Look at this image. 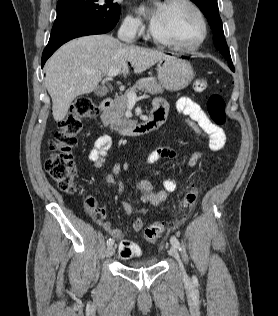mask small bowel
I'll use <instances>...</instances> for the list:
<instances>
[{"instance_id":"c3829d8e","label":"small bowel","mask_w":278,"mask_h":316,"mask_svg":"<svg viewBox=\"0 0 278 316\" xmlns=\"http://www.w3.org/2000/svg\"><path fill=\"white\" fill-rule=\"evenodd\" d=\"M177 110L185 115L187 125L193 130L195 134L206 139L209 144V148L213 152L220 151L226 143V134L222 128L215 125L206 112L201 108L199 104L188 97H182L176 104ZM153 110H159L164 114V120L166 119L169 106L160 98L155 99L153 103ZM112 146V139L108 135L99 136L93 143V146L88 154V159L93 163L96 168L103 166L106 160V156ZM203 153H196L190 160V166L194 167L202 160ZM172 160L176 164V168H180V158L178 153L169 147H158L154 149L147 157L146 162L148 164H155L160 160ZM106 181L114 186L118 191H122L124 188L121 179V167L119 164L112 166V174L106 176ZM139 188V204H149L152 206H158L167 199L169 193L173 192L177 188V175H173L166 178L163 182V188L157 189L153 183L148 180H141L138 184ZM123 209L126 215H130L132 212V206L129 202H122ZM100 223L105 231L115 238H122L124 233L121 229L115 228L111 225V222L107 219L104 213L101 214ZM131 228L134 232H139L143 228V219L136 218Z\"/></svg>"}]
</instances>
